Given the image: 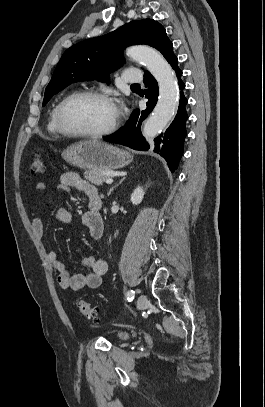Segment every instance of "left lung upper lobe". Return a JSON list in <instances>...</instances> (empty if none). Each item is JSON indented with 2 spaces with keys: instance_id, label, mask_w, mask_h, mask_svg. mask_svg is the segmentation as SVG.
<instances>
[{
  "instance_id": "5c2ea615",
  "label": "left lung upper lobe",
  "mask_w": 265,
  "mask_h": 407,
  "mask_svg": "<svg viewBox=\"0 0 265 407\" xmlns=\"http://www.w3.org/2000/svg\"><path fill=\"white\" fill-rule=\"evenodd\" d=\"M146 44L160 51L171 64L177 57L164 27L152 19L134 20L100 37L79 42L65 51L45 90L43 106L50 98L72 84L83 80L107 81V73L124 63V47ZM148 71H145V73Z\"/></svg>"
}]
</instances>
